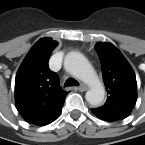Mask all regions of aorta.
Segmentation results:
<instances>
[{
    "label": "aorta",
    "mask_w": 145,
    "mask_h": 145,
    "mask_svg": "<svg viewBox=\"0 0 145 145\" xmlns=\"http://www.w3.org/2000/svg\"><path fill=\"white\" fill-rule=\"evenodd\" d=\"M65 68L73 76L90 86L86 101L93 107L100 106L105 97V89L88 60L80 53H70L65 58Z\"/></svg>",
    "instance_id": "1"
}]
</instances>
